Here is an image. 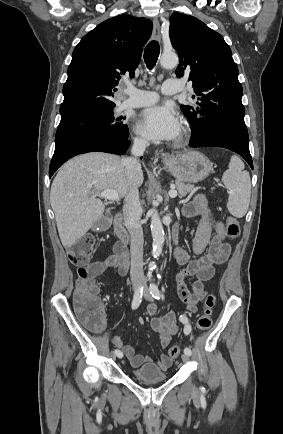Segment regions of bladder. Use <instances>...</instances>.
Here are the masks:
<instances>
[{
	"mask_svg": "<svg viewBox=\"0 0 283 434\" xmlns=\"http://www.w3.org/2000/svg\"><path fill=\"white\" fill-rule=\"evenodd\" d=\"M134 379L142 382H160L166 381L169 376L155 364H145L142 367L132 371Z\"/></svg>",
	"mask_w": 283,
	"mask_h": 434,
	"instance_id": "obj_1",
	"label": "bladder"
}]
</instances>
